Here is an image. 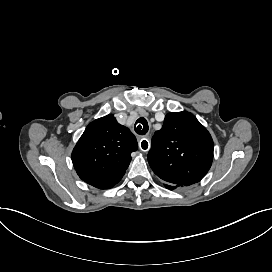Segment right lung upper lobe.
I'll use <instances>...</instances> for the list:
<instances>
[{
	"instance_id": "obj_1",
	"label": "right lung upper lobe",
	"mask_w": 272,
	"mask_h": 272,
	"mask_svg": "<svg viewBox=\"0 0 272 272\" xmlns=\"http://www.w3.org/2000/svg\"><path fill=\"white\" fill-rule=\"evenodd\" d=\"M137 148L134 134L109 114L86 127L72 152V162L83 181L109 189L121 180Z\"/></svg>"
}]
</instances>
